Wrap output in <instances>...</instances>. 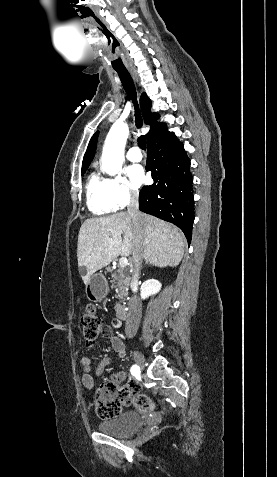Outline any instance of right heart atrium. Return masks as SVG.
<instances>
[{
  "mask_svg": "<svg viewBox=\"0 0 277 477\" xmlns=\"http://www.w3.org/2000/svg\"><path fill=\"white\" fill-rule=\"evenodd\" d=\"M106 184L108 198L114 210L123 209L138 199V189L122 175L107 178Z\"/></svg>",
  "mask_w": 277,
  "mask_h": 477,
  "instance_id": "obj_1",
  "label": "right heart atrium"
}]
</instances>
